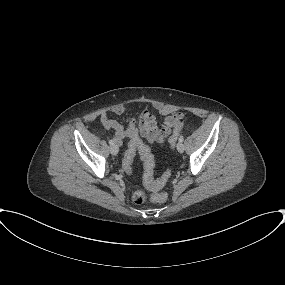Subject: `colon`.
I'll return each mask as SVG.
<instances>
[{"label":"colon","instance_id":"colon-1","mask_svg":"<svg viewBox=\"0 0 285 285\" xmlns=\"http://www.w3.org/2000/svg\"><path fill=\"white\" fill-rule=\"evenodd\" d=\"M180 131H174L169 137V144L173 147L177 141L178 135ZM138 151L140 153L141 159L143 161V180L144 183L147 185H152L155 190L162 188L171 176V171L167 170L159 179L154 178V167L155 161L154 156L152 155L150 149L145 146L144 144L131 141L128 149L125 153L123 159V166L127 171H131V165L134 158V155ZM133 200L138 203L142 204L147 200V194L142 190H137L133 194ZM151 200L156 204H164L167 200V196L164 193H154L151 195Z\"/></svg>","mask_w":285,"mask_h":285}]
</instances>
